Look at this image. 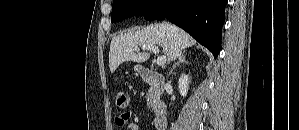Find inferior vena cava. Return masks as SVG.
<instances>
[{"label": "inferior vena cava", "instance_id": "obj_1", "mask_svg": "<svg viewBox=\"0 0 299 130\" xmlns=\"http://www.w3.org/2000/svg\"><path fill=\"white\" fill-rule=\"evenodd\" d=\"M173 27L171 26V29H172ZM181 56V49H180V47L178 46V45H175V47H174V50H173V54H172V57H171V59L169 60V61H173V60H175L177 57H180Z\"/></svg>", "mask_w": 299, "mask_h": 130}]
</instances>
